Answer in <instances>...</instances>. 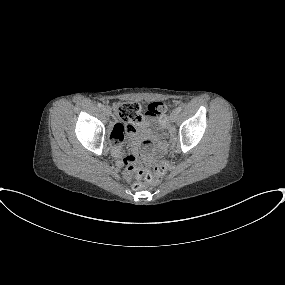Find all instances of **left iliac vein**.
I'll return each mask as SVG.
<instances>
[{"mask_svg": "<svg viewBox=\"0 0 285 285\" xmlns=\"http://www.w3.org/2000/svg\"><path fill=\"white\" fill-rule=\"evenodd\" d=\"M178 116H179V112L176 110H173L170 115L171 122H175L178 119Z\"/></svg>", "mask_w": 285, "mask_h": 285, "instance_id": "left-iliac-vein-1", "label": "left iliac vein"}]
</instances>
